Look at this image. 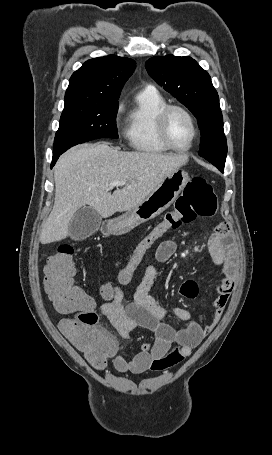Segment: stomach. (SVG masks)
<instances>
[{
	"instance_id": "0dacf381",
	"label": "stomach",
	"mask_w": 272,
	"mask_h": 455,
	"mask_svg": "<svg viewBox=\"0 0 272 455\" xmlns=\"http://www.w3.org/2000/svg\"><path fill=\"white\" fill-rule=\"evenodd\" d=\"M188 181L189 175L186 171L178 169L171 172L138 206L109 221L110 233L123 235L136 226L155 218L169 208Z\"/></svg>"
}]
</instances>
